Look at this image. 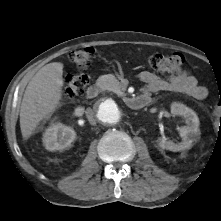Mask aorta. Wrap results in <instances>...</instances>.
<instances>
[{"mask_svg":"<svg viewBox=\"0 0 221 221\" xmlns=\"http://www.w3.org/2000/svg\"><path fill=\"white\" fill-rule=\"evenodd\" d=\"M123 111L121 104L112 99H102L95 110L97 120L104 125L112 126L120 121Z\"/></svg>","mask_w":221,"mask_h":221,"instance_id":"obj_1","label":"aorta"}]
</instances>
